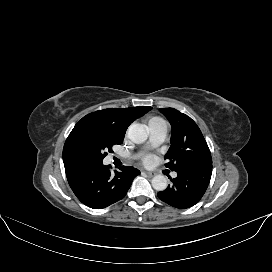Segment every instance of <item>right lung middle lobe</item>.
I'll return each instance as SVG.
<instances>
[{"label": "right lung middle lobe", "mask_w": 272, "mask_h": 272, "mask_svg": "<svg viewBox=\"0 0 272 272\" xmlns=\"http://www.w3.org/2000/svg\"><path fill=\"white\" fill-rule=\"evenodd\" d=\"M123 139L106 127L81 119L66 139L63 157L77 164H102L107 151L112 152V146Z\"/></svg>", "instance_id": "dd1d6c3e"}]
</instances>
